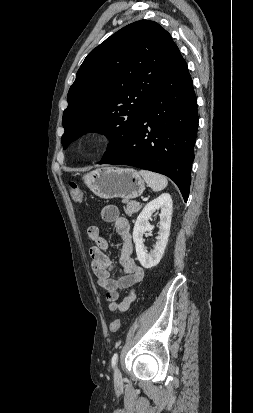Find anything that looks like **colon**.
I'll return each mask as SVG.
<instances>
[{
  "mask_svg": "<svg viewBox=\"0 0 253 413\" xmlns=\"http://www.w3.org/2000/svg\"><path fill=\"white\" fill-rule=\"evenodd\" d=\"M68 192L72 199L76 202H81L83 200V193L79 186L75 182H69L67 185ZM121 325L120 319H115L110 323L109 329L111 332L115 333L119 330Z\"/></svg>",
  "mask_w": 253,
  "mask_h": 413,
  "instance_id": "1",
  "label": "colon"
}]
</instances>
